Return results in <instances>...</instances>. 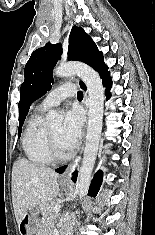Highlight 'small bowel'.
<instances>
[{"label": "small bowel", "instance_id": "1", "mask_svg": "<svg viewBox=\"0 0 155 235\" xmlns=\"http://www.w3.org/2000/svg\"><path fill=\"white\" fill-rule=\"evenodd\" d=\"M39 235H49V232L48 231H43Z\"/></svg>", "mask_w": 155, "mask_h": 235}]
</instances>
